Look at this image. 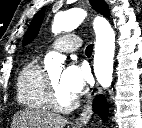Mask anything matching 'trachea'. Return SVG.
I'll return each instance as SVG.
<instances>
[{"label": "trachea", "instance_id": "3493384b", "mask_svg": "<svg viewBox=\"0 0 142 128\" xmlns=\"http://www.w3.org/2000/svg\"><path fill=\"white\" fill-rule=\"evenodd\" d=\"M92 51H93V44H90L86 48V55L91 56Z\"/></svg>", "mask_w": 142, "mask_h": 128}]
</instances>
